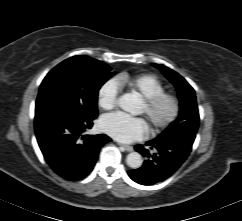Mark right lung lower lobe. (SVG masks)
<instances>
[{"instance_id":"obj_1","label":"right lung lower lobe","mask_w":242,"mask_h":221,"mask_svg":"<svg viewBox=\"0 0 242 221\" xmlns=\"http://www.w3.org/2000/svg\"><path fill=\"white\" fill-rule=\"evenodd\" d=\"M93 119L49 114L35 118L39 147L50 167L61 177L77 181L93 169L100 148L111 141L105 134L84 135Z\"/></svg>"}]
</instances>
